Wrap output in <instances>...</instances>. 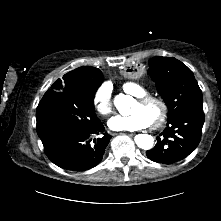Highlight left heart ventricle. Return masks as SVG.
Returning <instances> with one entry per match:
<instances>
[{
  "label": "left heart ventricle",
  "mask_w": 221,
  "mask_h": 221,
  "mask_svg": "<svg viewBox=\"0 0 221 221\" xmlns=\"http://www.w3.org/2000/svg\"><path fill=\"white\" fill-rule=\"evenodd\" d=\"M131 112H141L144 114L149 120L150 124L156 121L160 115L161 109L160 106L156 103H148L145 105L139 104L135 102L133 105Z\"/></svg>",
  "instance_id": "obj_1"
}]
</instances>
